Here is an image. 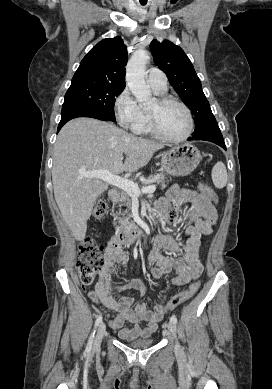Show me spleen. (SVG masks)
I'll use <instances>...</instances> for the list:
<instances>
[{"mask_svg":"<svg viewBox=\"0 0 272 389\" xmlns=\"http://www.w3.org/2000/svg\"><path fill=\"white\" fill-rule=\"evenodd\" d=\"M212 180L216 188L222 189L227 184V170L223 162H217L212 169Z\"/></svg>","mask_w":272,"mask_h":389,"instance_id":"1","label":"spleen"}]
</instances>
